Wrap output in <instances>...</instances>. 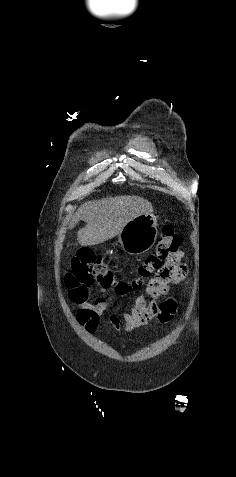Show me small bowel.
<instances>
[{
    "label": "small bowel",
    "instance_id": "obj_1",
    "mask_svg": "<svg viewBox=\"0 0 236 477\" xmlns=\"http://www.w3.org/2000/svg\"><path fill=\"white\" fill-rule=\"evenodd\" d=\"M184 269L181 267V276ZM175 280V281H176ZM148 299L143 295L137 296L126 309L118 313H112L109 316V325L113 329H119L121 326L126 331H132L145 326L150 320L157 319L160 323H168L177 308V302L173 298H167L159 301L165 294L154 288V281H149L147 285ZM79 306L76 320L85 330L94 334L100 327L101 316L108 309L110 298L107 294L100 296L94 303L75 302Z\"/></svg>",
    "mask_w": 236,
    "mask_h": 477
}]
</instances>
